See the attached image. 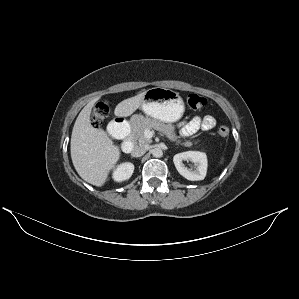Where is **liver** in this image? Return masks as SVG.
I'll return each mask as SVG.
<instances>
[{"label": "liver", "mask_w": 299, "mask_h": 299, "mask_svg": "<svg viewBox=\"0 0 299 299\" xmlns=\"http://www.w3.org/2000/svg\"><path fill=\"white\" fill-rule=\"evenodd\" d=\"M145 96L142 92L120 102L115 108V115L127 117L141 105ZM91 100L79 113L71 135V158L73 165L86 182L102 186L109 172L120 159V148L115 145L103 129L91 125L90 114L95 102Z\"/></svg>", "instance_id": "obj_1"}]
</instances>
